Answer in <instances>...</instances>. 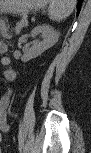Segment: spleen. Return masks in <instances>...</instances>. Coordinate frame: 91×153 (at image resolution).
Listing matches in <instances>:
<instances>
[{"instance_id":"3e777b00","label":"spleen","mask_w":91,"mask_h":153,"mask_svg":"<svg viewBox=\"0 0 91 153\" xmlns=\"http://www.w3.org/2000/svg\"><path fill=\"white\" fill-rule=\"evenodd\" d=\"M48 13L52 20H61L66 17L74 7L73 0H49Z\"/></svg>"}]
</instances>
